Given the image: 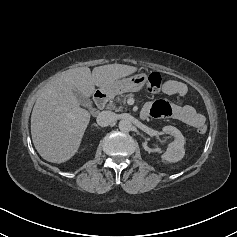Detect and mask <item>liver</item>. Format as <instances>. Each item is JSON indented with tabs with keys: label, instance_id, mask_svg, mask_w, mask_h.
<instances>
[{
	"label": "liver",
	"instance_id": "liver-1",
	"mask_svg": "<svg viewBox=\"0 0 237 237\" xmlns=\"http://www.w3.org/2000/svg\"><path fill=\"white\" fill-rule=\"evenodd\" d=\"M137 68L123 64L78 67L62 72L49 82L34 105L31 136L40 156L52 163H63L78 151L90 121V113L81 108L74 91L89 98L95 86L104 88Z\"/></svg>",
	"mask_w": 237,
	"mask_h": 237
}]
</instances>
